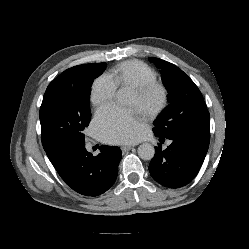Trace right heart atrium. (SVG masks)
<instances>
[{"label":"right heart atrium","instance_id":"obj_1","mask_svg":"<svg viewBox=\"0 0 249 249\" xmlns=\"http://www.w3.org/2000/svg\"><path fill=\"white\" fill-rule=\"evenodd\" d=\"M117 85L108 74H103L95 79L91 87L90 100L95 106H101L114 97Z\"/></svg>","mask_w":249,"mask_h":249}]
</instances>
